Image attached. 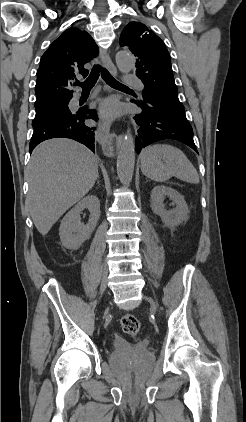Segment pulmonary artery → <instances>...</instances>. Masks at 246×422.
Segmentation results:
<instances>
[{
	"label": "pulmonary artery",
	"mask_w": 246,
	"mask_h": 422,
	"mask_svg": "<svg viewBox=\"0 0 246 422\" xmlns=\"http://www.w3.org/2000/svg\"><path fill=\"white\" fill-rule=\"evenodd\" d=\"M126 84L136 87L138 90L143 91L144 85L141 80L135 74H126L124 77ZM79 95L76 94L73 98V102L77 101Z\"/></svg>",
	"instance_id": "e3ab8cb5"
}]
</instances>
